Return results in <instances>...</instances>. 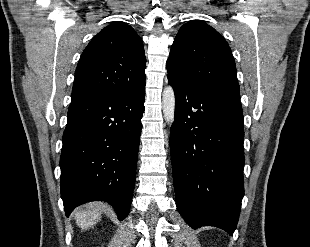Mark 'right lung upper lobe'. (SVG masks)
Here are the masks:
<instances>
[{"label": "right lung upper lobe", "mask_w": 310, "mask_h": 247, "mask_svg": "<svg viewBox=\"0 0 310 247\" xmlns=\"http://www.w3.org/2000/svg\"><path fill=\"white\" fill-rule=\"evenodd\" d=\"M145 67L142 39L131 26L112 23L84 49L71 101L139 90L145 86Z\"/></svg>", "instance_id": "1"}]
</instances>
